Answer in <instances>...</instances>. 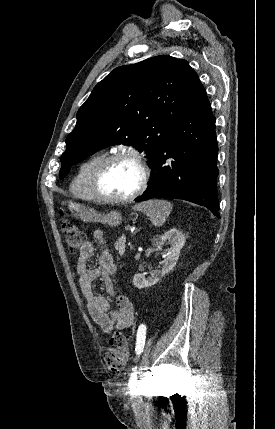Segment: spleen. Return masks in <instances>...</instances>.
<instances>
[{"mask_svg":"<svg viewBox=\"0 0 275 429\" xmlns=\"http://www.w3.org/2000/svg\"><path fill=\"white\" fill-rule=\"evenodd\" d=\"M173 206L166 200H148L137 204L134 210L140 211L148 216L155 226H162L169 216Z\"/></svg>","mask_w":275,"mask_h":429,"instance_id":"3e777b00","label":"spleen"}]
</instances>
